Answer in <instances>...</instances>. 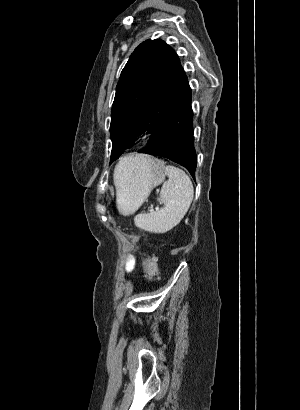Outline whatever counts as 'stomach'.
I'll use <instances>...</instances> for the list:
<instances>
[{
	"label": "stomach",
	"mask_w": 300,
	"mask_h": 410,
	"mask_svg": "<svg viewBox=\"0 0 300 410\" xmlns=\"http://www.w3.org/2000/svg\"><path fill=\"white\" fill-rule=\"evenodd\" d=\"M133 161V167L120 173L117 190V208L121 214L135 212L147 199L152 189L165 180V163L145 155V159Z\"/></svg>",
	"instance_id": "obj_1"
}]
</instances>
